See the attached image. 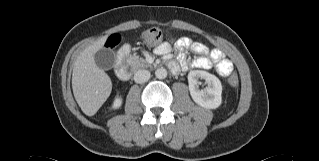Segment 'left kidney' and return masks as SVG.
Masks as SVG:
<instances>
[{
    "instance_id": "5707ae66",
    "label": "left kidney",
    "mask_w": 319,
    "mask_h": 161,
    "mask_svg": "<svg viewBox=\"0 0 319 161\" xmlns=\"http://www.w3.org/2000/svg\"><path fill=\"white\" fill-rule=\"evenodd\" d=\"M199 79L207 83L205 90L199 89ZM189 91L192 99L198 105L207 109H216L222 102V85L213 74L202 70H193L188 74Z\"/></svg>"
}]
</instances>
